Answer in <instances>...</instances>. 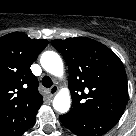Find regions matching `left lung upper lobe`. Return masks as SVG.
<instances>
[{"label":"left lung upper lobe","instance_id":"obj_1","mask_svg":"<svg viewBox=\"0 0 136 136\" xmlns=\"http://www.w3.org/2000/svg\"><path fill=\"white\" fill-rule=\"evenodd\" d=\"M51 43L69 68L72 108L65 115L119 120L128 101L126 72L119 57L86 37Z\"/></svg>","mask_w":136,"mask_h":136}]
</instances>
